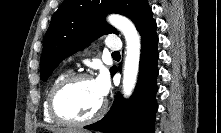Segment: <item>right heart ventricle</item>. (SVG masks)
<instances>
[{"instance_id":"obj_1","label":"right heart ventricle","mask_w":221,"mask_h":133,"mask_svg":"<svg viewBox=\"0 0 221 133\" xmlns=\"http://www.w3.org/2000/svg\"><path fill=\"white\" fill-rule=\"evenodd\" d=\"M66 76H68V72H61L58 75H56L53 80L51 81V83L49 84L46 93H45V97L43 100V104H42V112H43V118L47 123L50 124H55L57 123L49 114L48 111V97L49 94L51 92V90L53 89V87L63 78H65Z\"/></svg>"}]
</instances>
